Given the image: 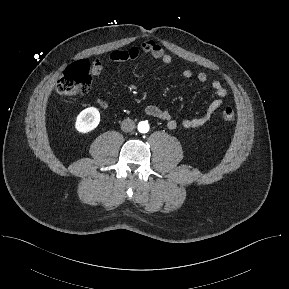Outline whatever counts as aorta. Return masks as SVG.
I'll use <instances>...</instances> for the list:
<instances>
[{"instance_id": "762f6f07", "label": "aorta", "mask_w": 289, "mask_h": 289, "mask_svg": "<svg viewBox=\"0 0 289 289\" xmlns=\"http://www.w3.org/2000/svg\"><path fill=\"white\" fill-rule=\"evenodd\" d=\"M138 130L141 133H147L149 131V124L146 121H142L138 124Z\"/></svg>"}]
</instances>
